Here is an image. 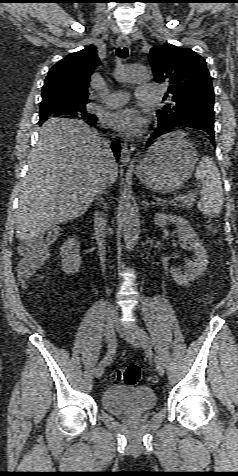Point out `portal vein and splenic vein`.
Here are the masks:
<instances>
[{
    "instance_id": "1",
    "label": "portal vein and splenic vein",
    "mask_w": 238,
    "mask_h": 476,
    "mask_svg": "<svg viewBox=\"0 0 238 476\" xmlns=\"http://www.w3.org/2000/svg\"><path fill=\"white\" fill-rule=\"evenodd\" d=\"M185 198H186V195L179 194V195L175 196L174 201L178 202V201H181Z\"/></svg>"
}]
</instances>
